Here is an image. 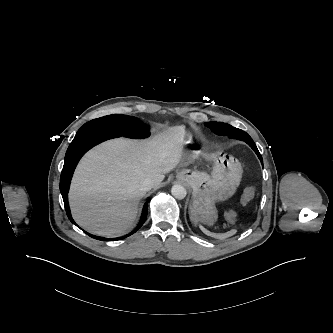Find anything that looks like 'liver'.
<instances>
[{
  "instance_id": "obj_1",
  "label": "liver",
  "mask_w": 333,
  "mask_h": 333,
  "mask_svg": "<svg viewBox=\"0 0 333 333\" xmlns=\"http://www.w3.org/2000/svg\"><path fill=\"white\" fill-rule=\"evenodd\" d=\"M187 144L184 128L176 126L151 139L119 138L98 145L82 159L72 180L73 219L93 234H124L145 194L139 182L149 178L156 187L177 165L193 163L196 156L184 151Z\"/></svg>"
}]
</instances>
